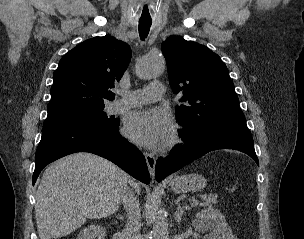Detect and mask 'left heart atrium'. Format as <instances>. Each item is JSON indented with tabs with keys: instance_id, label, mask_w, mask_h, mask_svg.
<instances>
[{
	"instance_id": "left-heart-atrium-1",
	"label": "left heart atrium",
	"mask_w": 304,
	"mask_h": 239,
	"mask_svg": "<svg viewBox=\"0 0 304 239\" xmlns=\"http://www.w3.org/2000/svg\"><path fill=\"white\" fill-rule=\"evenodd\" d=\"M170 116L156 109H141L133 112L126 120L125 133L133 142L157 148L165 144L173 134Z\"/></svg>"
}]
</instances>
